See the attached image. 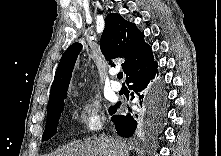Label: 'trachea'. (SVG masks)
<instances>
[{
    "instance_id": "3493384b",
    "label": "trachea",
    "mask_w": 221,
    "mask_h": 156,
    "mask_svg": "<svg viewBox=\"0 0 221 156\" xmlns=\"http://www.w3.org/2000/svg\"><path fill=\"white\" fill-rule=\"evenodd\" d=\"M117 78H118V79H122V78H123V72H119V73L117 74Z\"/></svg>"
}]
</instances>
